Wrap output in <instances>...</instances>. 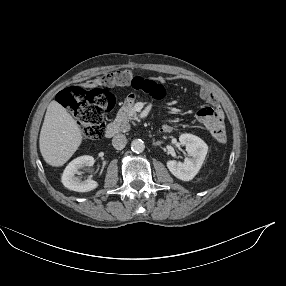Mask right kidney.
I'll return each mask as SVG.
<instances>
[{
    "mask_svg": "<svg viewBox=\"0 0 286 286\" xmlns=\"http://www.w3.org/2000/svg\"><path fill=\"white\" fill-rule=\"evenodd\" d=\"M94 162V158L89 155H84L71 161L63 172V185L66 188L77 192H88L97 188L98 183L96 181L91 179L82 181L78 177H75L81 167L93 166Z\"/></svg>",
    "mask_w": 286,
    "mask_h": 286,
    "instance_id": "1",
    "label": "right kidney"
}]
</instances>
